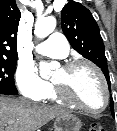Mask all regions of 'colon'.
<instances>
[{
	"instance_id": "colon-1",
	"label": "colon",
	"mask_w": 117,
	"mask_h": 131,
	"mask_svg": "<svg viewBox=\"0 0 117 131\" xmlns=\"http://www.w3.org/2000/svg\"><path fill=\"white\" fill-rule=\"evenodd\" d=\"M88 131H105V129L100 124H93Z\"/></svg>"
}]
</instances>
